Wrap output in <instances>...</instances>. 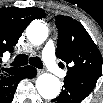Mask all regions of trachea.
Instances as JSON below:
<instances>
[{
	"label": "trachea",
	"mask_w": 103,
	"mask_h": 103,
	"mask_svg": "<svg viewBox=\"0 0 103 103\" xmlns=\"http://www.w3.org/2000/svg\"><path fill=\"white\" fill-rule=\"evenodd\" d=\"M30 63L31 65L35 66L38 69L43 68L42 61L39 57H28L25 54L18 55L14 61L11 63L12 66H23Z\"/></svg>",
	"instance_id": "3493384b"
}]
</instances>
